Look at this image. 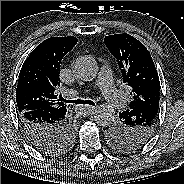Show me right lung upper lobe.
<instances>
[{
  "instance_id": "cb5924a9",
  "label": "right lung upper lobe",
  "mask_w": 184,
  "mask_h": 184,
  "mask_svg": "<svg viewBox=\"0 0 184 184\" xmlns=\"http://www.w3.org/2000/svg\"><path fill=\"white\" fill-rule=\"evenodd\" d=\"M77 42L73 36L48 38L30 53L21 68L16 89L19 114L36 110L53 115L67 112L63 102L55 100L54 91L60 85V63Z\"/></svg>"
}]
</instances>
